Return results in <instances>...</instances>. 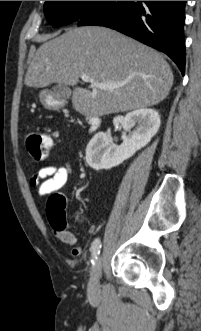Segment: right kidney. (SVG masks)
Masks as SVG:
<instances>
[{
  "label": "right kidney",
  "mask_w": 201,
  "mask_h": 331,
  "mask_svg": "<svg viewBox=\"0 0 201 331\" xmlns=\"http://www.w3.org/2000/svg\"><path fill=\"white\" fill-rule=\"evenodd\" d=\"M160 123L158 112L152 109H139L128 113L123 121V143L118 146L112 143L105 133L95 134L86 148L87 164L94 170H107L118 166L151 141L158 132Z\"/></svg>",
  "instance_id": "1"
}]
</instances>
